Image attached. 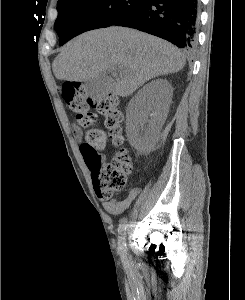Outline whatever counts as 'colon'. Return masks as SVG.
Here are the masks:
<instances>
[{"label":"colon","mask_w":245,"mask_h":300,"mask_svg":"<svg viewBox=\"0 0 245 300\" xmlns=\"http://www.w3.org/2000/svg\"><path fill=\"white\" fill-rule=\"evenodd\" d=\"M61 92L69 108L76 114L78 124L85 129L80 151L92 174L95 191L100 198L110 199L125 188L133 171L131 158L125 150L118 151L110 161H106L101 153L107 138L115 145L123 143V114L118 98L114 95L91 98L79 82L64 84ZM90 108L96 109L104 117L106 132L95 127L96 115Z\"/></svg>","instance_id":"obj_1"}]
</instances>
